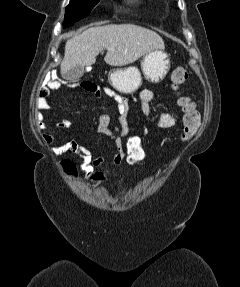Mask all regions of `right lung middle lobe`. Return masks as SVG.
<instances>
[{
  "label": "right lung middle lobe",
  "mask_w": 240,
  "mask_h": 287,
  "mask_svg": "<svg viewBox=\"0 0 240 287\" xmlns=\"http://www.w3.org/2000/svg\"><path fill=\"white\" fill-rule=\"evenodd\" d=\"M100 0H70L66 7L63 27H69L87 16Z\"/></svg>",
  "instance_id": "dd1d6c3e"
}]
</instances>
